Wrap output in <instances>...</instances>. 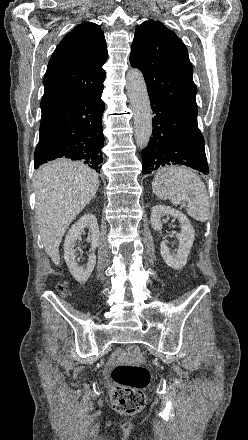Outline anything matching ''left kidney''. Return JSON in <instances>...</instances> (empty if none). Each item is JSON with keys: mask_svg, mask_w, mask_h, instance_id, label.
Segmentation results:
<instances>
[{"mask_svg": "<svg viewBox=\"0 0 248 440\" xmlns=\"http://www.w3.org/2000/svg\"><path fill=\"white\" fill-rule=\"evenodd\" d=\"M167 215L177 218L181 224L182 230L181 233L176 235L179 241L178 250L174 253H171L167 244L162 241L160 244L161 256L168 266L173 269L180 270L187 263V258L194 242L195 231L186 215H184L181 211L163 205H156L152 208V228L156 231L162 230L163 224L161 222V218Z\"/></svg>", "mask_w": 248, "mask_h": 440, "instance_id": "5707ae66", "label": "left kidney"}]
</instances>
